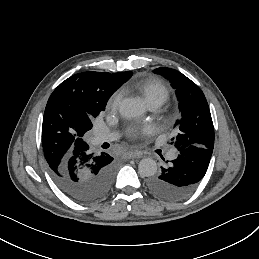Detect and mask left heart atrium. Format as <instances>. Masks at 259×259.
Instances as JSON below:
<instances>
[{
  "label": "left heart atrium",
  "instance_id": "39dd6f15",
  "mask_svg": "<svg viewBox=\"0 0 259 259\" xmlns=\"http://www.w3.org/2000/svg\"><path fill=\"white\" fill-rule=\"evenodd\" d=\"M152 131L153 128L150 125L133 126L127 130V136L132 139H140Z\"/></svg>",
  "mask_w": 259,
  "mask_h": 259
}]
</instances>
